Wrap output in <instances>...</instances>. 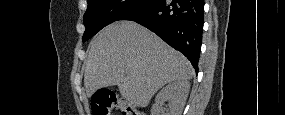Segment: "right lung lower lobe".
Masks as SVG:
<instances>
[{
	"label": "right lung lower lobe",
	"mask_w": 285,
	"mask_h": 115,
	"mask_svg": "<svg viewBox=\"0 0 285 115\" xmlns=\"http://www.w3.org/2000/svg\"><path fill=\"white\" fill-rule=\"evenodd\" d=\"M203 0H154L121 20L136 21L186 56L196 73L202 44Z\"/></svg>",
	"instance_id": "right-lung-lower-lobe-1"
}]
</instances>
